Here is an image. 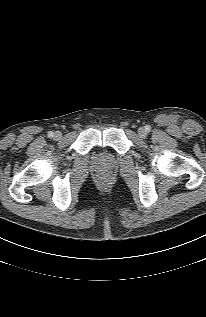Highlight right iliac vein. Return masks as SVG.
<instances>
[{"instance_id": "63e3f726", "label": "right iliac vein", "mask_w": 206, "mask_h": 317, "mask_svg": "<svg viewBox=\"0 0 206 317\" xmlns=\"http://www.w3.org/2000/svg\"><path fill=\"white\" fill-rule=\"evenodd\" d=\"M54 137H55V139H57V140L60 139V138L62 137L61 132L57 131V132L55 133Z\"/></svg>"}]
</instances>
